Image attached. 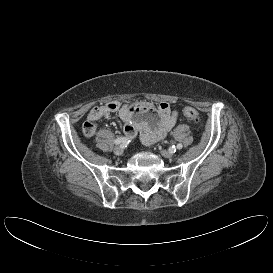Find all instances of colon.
<instances>
[{"mask_svg": "<svg viewBox=\"0 0 273 273\" xmlns=\"http://www.w3.org/2000/svg\"><path fill=\"white\" fill-rule=\"evenodd\" d=\"M183 115L189 121H192V122H199L200 121V114L193 107H190V106L184 107Z\"/></svg>", "mask_w": 273, "mask_h": 273, "instance_id": "5ec220e1", "label": "colon"}]
</instances>
